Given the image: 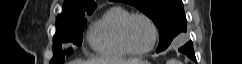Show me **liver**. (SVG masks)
Returning a JSON list of instances; mask_svg holds the SVG:
<instances>
[{"mask_svg": "<svg viewBox=\"0 0 242 64\" xmlns=\"http://www.w3.org/2000/svg\"><path fill=\"white\" fill-rule=\"evenodd\" d=\"M144 61L140 59H130V60H124V59H91L88 61H82V60H75L72 61L70 64H141Z\"/></svg>", "mask_w": 242, "mask_h": 64, "instance_id": "6515ba94", "label": "liver"}]
</instances>
